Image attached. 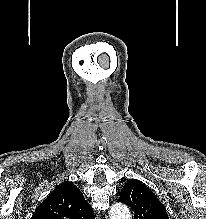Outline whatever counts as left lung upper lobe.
Instances as JSON below:
<instances>
[{
    "label": "left lung upper lobe",
    "instance_id": "1",
    "mask_svg": "<svg viewBox=\"0 0 206 219\" xmlns=\"http://www.w3.org/2000/svg\"><path fill=\"white\" fill-rule=\"evenodd\" d=\"M118 202L134 211V219H169L164 205L144 184L131 180L121 190Z\"/></svg>",
    "mask_w": 206,
    "mask_h": 219
}]
</instances>
